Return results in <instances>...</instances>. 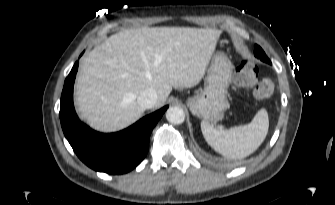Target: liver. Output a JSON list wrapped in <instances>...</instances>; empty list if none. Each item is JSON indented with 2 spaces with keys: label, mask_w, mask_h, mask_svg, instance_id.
Returning <instances> with one entry per match:
<instances>
[{
  "label": "liver",
  "mask_w": 335,
  "mask_h": 205,
  "mask_svg": "<svg viewBox=\"0 0 335 205\" xmlns=\"http://www.w3.org/2000/svg\"><path fill=\"white\" fill-rule=\"evenodd\" d=\"M221 31L191 27H140L120 31L81 62L76 103L82 118L102 132L121 130L143 112L148 89L162 106L172 88H191L204 76Z\"/></svg>",
  "instance_id": "1"
}]
</instances>
